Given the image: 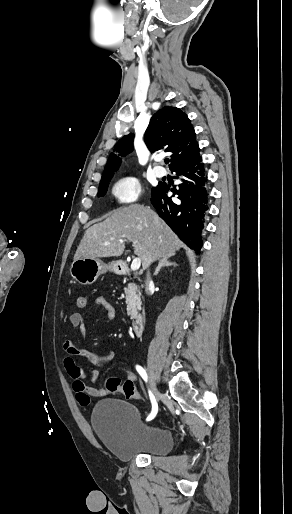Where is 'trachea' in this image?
<instances>
[{"instance_id":"3493384b","label":"trachea","mask_w":292,"mask_h":514,"mask_svg":"<svg viewBox=\"0 0 292 514\" xmlns=\"http://www.w3.org/2000/svg\"><path fill=\"white\" fill-rule=\"evenodd\" d=\"M169 163V159H165V164H168Z\"/></svg>"}]
</instances>
